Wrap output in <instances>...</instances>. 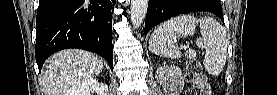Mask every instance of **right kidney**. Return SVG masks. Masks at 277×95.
<instances>
[{"mask_svg": "<svg viewBox=\"0 0 277 95\" xmlns=\"http://www.w3.org/2000/svg\"><path fill=\"white\" fill-rule=\"evenodd\" d=\"M108 87L100 84L95 78H88L76 83L72 89L68 91V95H89L90 91H95L99 95H106Z\"/></svg>", "mask_w": 277, "mask_h": 95, "instance_id": "1", "label": "right kidney"}]
</instances>
